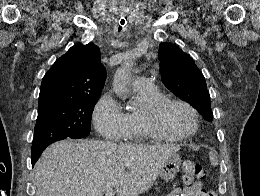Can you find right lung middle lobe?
Segmentation results:
<instances>
[{"label": "right lung middle lobe", "mask_w": 260, "mask_h": 196, "mask_svg": "<svg viewBox=\"0 0 260 196\" xmlns=\"http://www.w3.org/2000/svg\"><path fill=\"white\" fill-rule=\"evenodd\" d=\"M99 97L86 95L39 106L32 151L45 149L65 138L88 136L92 112Z\"/></svg>", "instance_id": "right-lung-middle-lobe-1"}]
</instances>
